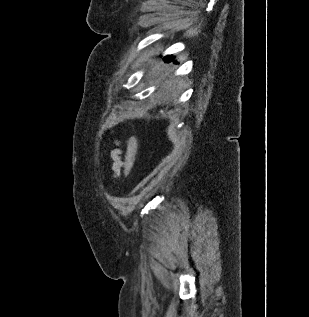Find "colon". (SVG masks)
I'll use <instances>...</instances> for the list:
<instances>
[{
    "mask_svg": "<svg viewBox=\"0 0 309 317\" xmlns=\"http://www.w3.org/2000/svg\"><path fill=\"white\" fill-rule=\"evenodd\" d=\"M138 149V139L136 137H131L128 145H127V151L125 155V161H124V173L125 175H130L133 165L135 162L136 154Z\"/></svg>",
    "mask_w": 309,
    "mask_h": 317,
    "instance_id": "obj_1",
    "label": "colon"
}]
</instances>
